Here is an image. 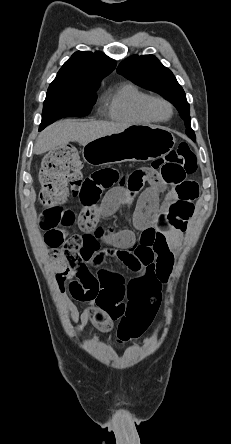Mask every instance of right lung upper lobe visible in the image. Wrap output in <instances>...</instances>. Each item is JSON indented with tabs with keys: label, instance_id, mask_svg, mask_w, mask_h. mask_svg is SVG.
Returning <instances> with one entry per match:
<instances>
[{
	"label": "right lung upper lobe",
	"instance_id": "1",
	"mask_svg": "<svg viewBox=\"0 0 231 444\" xmlns=\"http://www.w3.org/2000/svg\"><path fill=\"white\" fill-rule=\"evenodd\" d=\"M115 66L116 61L100 51H78L64 63L48 89H98L101 80L113 71Z\"/></svg>",
	"mask_w": 231,
	"mask_h": 444
}]
</instances>
